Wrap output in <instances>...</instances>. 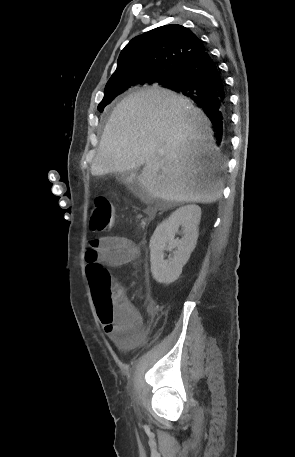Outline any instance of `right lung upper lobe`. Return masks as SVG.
<instances>
[{
  "instance_id": "right-lung-upper-lobe-1",
  "label": "right lung upper lobe",
  "mask_w": 295,
  "mask_h": 457,
  "mask_svg": "<svg viewBox=\"0 0 295 457\" xmlns=\"http://www.w3.org/2000/svg\"><path fill=\"white\" fill-rule=\"evenodd\" d=\"M205 50L200 39L181 25L157 27L130 40L121 51L117 69L105 89L124 83H131V87L163 86L168 78L177 76L185 64Z\"/></svg>"
}]
</instances>
